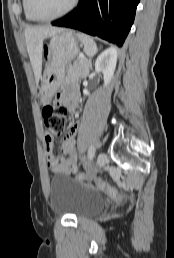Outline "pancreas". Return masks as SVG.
I'll use <instances>...</instances> for the list:
<instances>
[{"label": "pancreas", "mask_w": 174, "mask_h": 258, "mask_svg": "<svg viewBox=\"0 0 174 258\" xmlns=\"http://www.w3.org/2000/svg\"><path fill=\"white\" fill-rule=\"evenodd\" d=\"M91 68V63L86 58L78 57L73 64H70L67 69L69 78H80L88 74Z\"/></svg>", "instance_id": "cf45deb5"}]
</instances>
